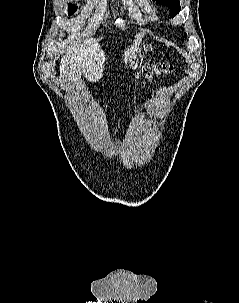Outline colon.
Segmentation results:
<instances>
[{"label":"colon","instance_id":"colon-1","mask_svg":"<svg viewBox=\"0 0 239 303\" xmlns=\"http://www.w3.org/2000/svg\"><path fill=\"white\" fill-rule=\"evenodd\" d=\"M172 71L173 66L168 63L148 64L139 73V79L142 83H146L153 78L169 75Z\"/></svg>","mask_w":239,"mask_h":303}]
</instances>
